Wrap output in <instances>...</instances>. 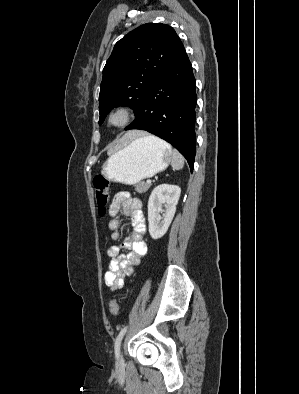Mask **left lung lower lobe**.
Wrapping results in <instances>:
<instances>
[{"label":"left lung lower lobe","instance_id":"obj_1","mask_svg":"<svg viewBox=\"0 0 299 394\" xmlns=\"http://www.w3.org/2000/svg\"><path fill=\"white\" fill-rule=\"evenodd\" d=\"M195 78L185 49L156 78L125 128L146 130L172 144L193 171L195 159Z\"/></svg>","mask_w":299,"mask_h":394}]
</instances>
